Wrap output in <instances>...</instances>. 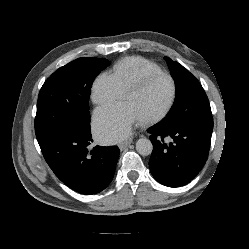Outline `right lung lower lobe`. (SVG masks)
I'll use <instances>...</instances> for the list:
<instances>
[{"mask_svg":"<svg viewBox=\"0 0 249 249\" xmlns=\"http://www.w3.org/2000/svg\"><path fill=\"white\" fill-rule=\"evenodd\" d=\"M88 129L56 131L38 140L42 154L54 174L71 189L86 195L104 190L112 181L120 154L117 146H88Z\"/></svg>","mask_w":249,"mask_h":249,"instance_id":"obj_1","label":"right lung lower lobe"}]
</instances>
